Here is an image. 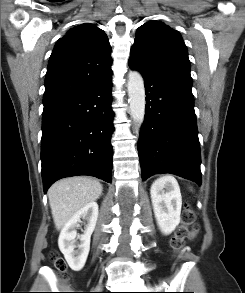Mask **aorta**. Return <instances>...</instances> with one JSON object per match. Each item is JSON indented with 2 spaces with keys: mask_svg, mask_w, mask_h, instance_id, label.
I'll return each mask as SVG.
<instances>
[{
  "mask_svg": "<svg viewBox=\"0 0 245 293\" xmlns=\"http://www.w3.org/2000/svg\"><path fill=\"white\" fill-rule=\"evenodd\" d=\"M127 87L131 117L135 122L141 125L144 121L146 101L144 81L139 72H129Z\"/></svg>",
  "mask_w": 245,
  "mask_h": 293,
  "instance_id": "aorta-1",
  "label": "aorta"
}]
</instances>
